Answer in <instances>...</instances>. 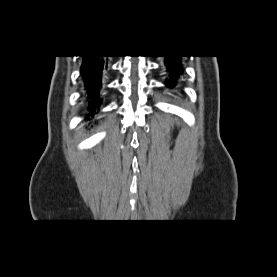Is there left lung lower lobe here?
Returning a JSON list of instances; mask_svg holds the SVG:
<instances>
[{
    "mask_svg": "<svg viewBox=\"0 0 277 277\" xmlns=\"http://www.w3.org/2000/svg\"><path fill=\"white\" fill-rule=\"evenodd\" d=\"M180 57L181 56H166L164 60L166 69L170 76L169 81H166V85H170L171 87L174 85L177 76L182 73Z\"/></svg>",
    "mask_w": 277,
    "mask_h": 277,
    "instance_id": "left-lung-lower-lobe-1",
    "label": "left lung lower lobe"
}]
</instances>
